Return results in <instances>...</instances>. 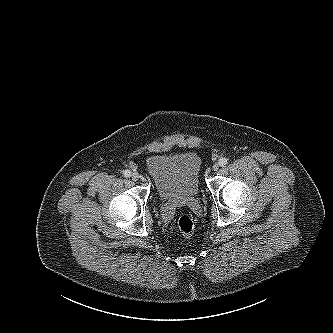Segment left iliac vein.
<instances>
[{
	"mask_svg": "<svg viewBox=\"0 0 333 333\" xmlns=\"http://www.w3.org/2000/svg\"><path fill=\"white\" fill-rule=\"evenodd\" d=\"M220 167V164L219 163H215L212 167L213 171H217Z\"/></svg>",
	"mask_w": 333,
	"mask_h": 333,
	"instance_id": "1",
	"label": "left iliac vein"
}]
</instances>
